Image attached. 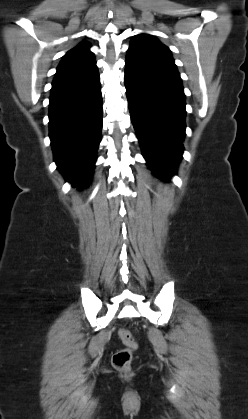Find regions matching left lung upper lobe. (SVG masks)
Listing matches in <instances>:
<instances>
[{
    "instance_id": "left-lung-upper-lobe-1",
    "label": "left lung upper lobe",
    "mask_w": 248,
    "mask_h": 419,
    "mask_svg": "<svg viewBox=\"0 0 248 419\" xmlns=\"http://www.w3.org/2000/svg\"><path fill=\"white\" fill-rule=\"evenodd\" d=\"M128 50L175 66L169 48L148 34L134 36Z\"/></svg>"
}]
</instances>
